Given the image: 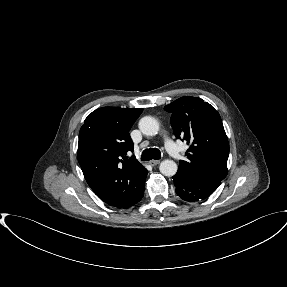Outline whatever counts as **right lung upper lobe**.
I'll use <instances>...</instances> for the list:
<instances>
[{"mask_svg": "<svg viewBox=\"0 0 287 287\" xmlns=\"http://www.w3.org/2000/svg\"><path fill=\"white\" fill-rule=\"evenodd\" d=\"M142 108L103 107L93 111L79 132L78 162L94 193L114 207L126 204L146 176L134 156L129 131Z\"/></svg>", "mask_w": 287, "mask_h": 287, "instance_id": "right-lung-upper-lobe-1", "label": "right lung upper lobe"}]
</instances>
